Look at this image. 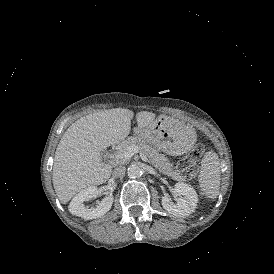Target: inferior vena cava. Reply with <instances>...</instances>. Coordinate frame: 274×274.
Instances as JSON below:
<instances>
[{
    "instance_id": "obj_1",
    "label": "inferior vena cava",
    "mask_w": 274,
    "mask_h": 274,
    "mask_svg": "<svg viewBox=\"0 0 274 274\" xmlns=\"http://www.w3.org/2000/svg\"><path fill=\"white\" fill-rule=\"evenodd\" d=\"M125 172H126V167L124 166H119V167H116L113 171V176L115 178H120V177H123L125 175Z\"/></svg>"
}]
</instances>
